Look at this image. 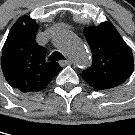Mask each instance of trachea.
I'll return each instance as SVG.
<instances>
[{"mask_svg":"<svg viewBox=\"0 0 135 135\" xmlns=\"http://www.w3.org/2000/svg\"><path fill=\"white\" fill-rule=\"evenodd\" d=\"M59 60H66V58L60 53V52H53L49 58L48 61H59Z\"/></svg>","mask_w":135,"mask_h":135,"instance_id":"trachea-1","label":"trachea"}]
</instances>
